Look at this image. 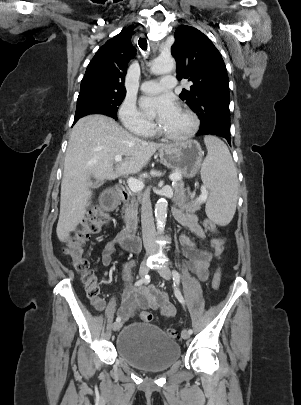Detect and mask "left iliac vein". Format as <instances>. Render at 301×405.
<instances>
[{
    "label": "left iliac vein",
    "mask_w": 301,
    "mask_h": 405,
    "mask_svg": "<svg viewBox=\"0 0 301 405\" xmlns=\"http://www.w3.org/2000/svg\"><path fill=\"white\" fill-rule=\"evenodd\" d=\"M159 273L164 279L166 280L171 279V271L167 266L160 268ZM181 336L183 339H188L190 337V333L187 330H183Z\"/></svg>",
    "instance_id": "left-iliac-vein-1"
}]
</instances>
